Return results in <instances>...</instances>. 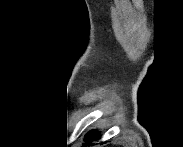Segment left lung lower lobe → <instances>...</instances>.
Masks as SVG:
<instances>
[{
    "label": "left lung lower lobe",
    "instance_id": "0a47b994",
    "mask_svg": "<svg viewBox=\"0 0 183 147\" xmlns=\"http://www.w3.org/2000/svg\"><path fill=\"white\" fill-rule=\"evenodd\" d=\"M99 137H100L99 132H97V131H91L90 133H88L86 135L85 141L86 142L96 141V140L99 139ZM86 145H90V144L89 143H86Z\"/></svg>",
    "mask_w": 183,
    "mask_h": 147
}]
</instances>
